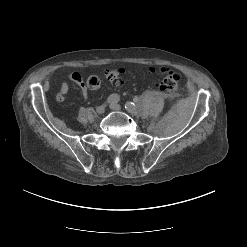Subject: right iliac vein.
<instances>
[{
    "label": "right iliac vein",
    "instance_id": "63e3f726",
    "mask_svg": "<svg viewBox=\"0 0 247 247\" xmlns=\"http://www.w3.org/2000/svg\"><path fill=\"white\" fill-rule=\"evenodd\" d=\"M105 107H106L105 105L98 106L96 108V113L97 114H103L105 112Z\"/></svg>",
    "mask_w": 247,
    "mask_h": 247
}]
</instances>
